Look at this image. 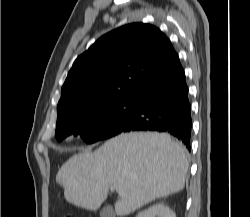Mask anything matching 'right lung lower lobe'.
<instances>
[{
    "mask_svg": "<svg viewBox=\"0 0 250 217\" xmlns=\"http://www.w3.org/2000/svg\"><path fill=\"white\" fill-rule=\"evenodd\" d=\"M132 99L135 106L133 117L121 132H168L182 141L190 151L191 106L180 62L166 76Z\"/></svg>",
    "mask_w": 250,
    "mask_h": 217,
    "instance_id": "right-lung-lower-lobe-1",
    "label": "right lung lower lobe"
}]
</instances>
